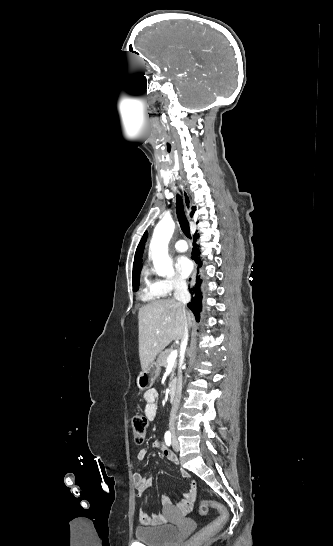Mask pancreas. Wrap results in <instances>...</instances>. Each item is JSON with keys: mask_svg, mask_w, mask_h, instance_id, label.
<instances>
[{"mask_svg": "<svg viewBox=\"0 0 333 546\" xmlns=\"http://www.w3.org/2000/svg\"><path fill=\"white\" fill-rule=\"evenodd\" d=\"M173 351L172 348L165 349L164 351L160 352L157 358V362L160 366L166 368L167 367V358L170 355V353ZM177 364L175 363L174 369H176ZM174 375V372H173Z\"/></svg>", "mask_w": 333, "mask_h": 546, "instance_id": "pancreas-1", "label": "pancreas"}]
</instances>
